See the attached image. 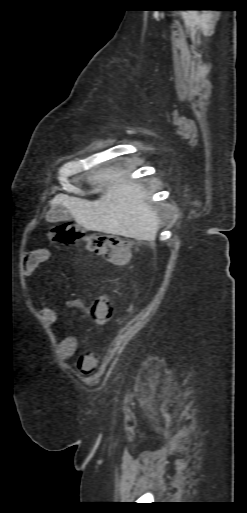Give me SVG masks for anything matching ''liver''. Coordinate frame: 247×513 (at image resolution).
Returning a JSON list of instances; mask_svg holds the SVG:
<instances>
[{
	"label": "liver",
	"instance_id": "1",
	"mask_svg": "<svg viewBox=\"0 0 247 513\" xmlns=\"http://www.w3.org/2000/svg\"><path fill=\"white\" fill-rule=\"evenodd\" d=\"M88 181L90 184L105 182V190L99 199L89 201L58 194L50 202L51 210L58 205L64 206L77 224L87 230L137 240L155 239L160 220L143 186L128 180L125 169L110 167L93 172ZM49 212L46 220L50 222Z\"/></svg>",
	"mask_w": 247,
	"mask_h": 513
}]
</instances>
